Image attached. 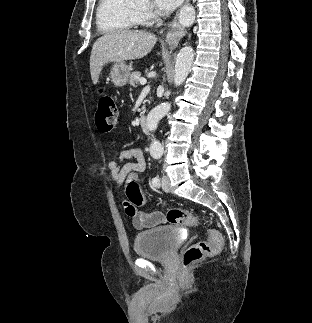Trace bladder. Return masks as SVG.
Listing matches in <instances>:
<instances>
[{
    "label": "bladder",
    "mask_w": 312,
    "mask_h": 323,
    "mask_svg": "<svg viewBox=\"0 0 312 323\" xmlns=\"http://www.w3.org/2000/svg\"><path fill=\"white\" fill-rule=\"evenodd\" d=\"M179 244L176 229L168 226H158L136 234L134 239L137 254L147 259H167L171 252H176Z\"/></svg>",
    "instance_id": "1"
}]
</instances>
